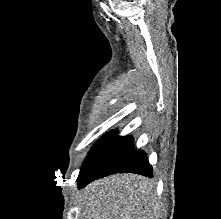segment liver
Listing matches in <instances>:
<instances>
[{
    "label": "liver",
    "mask_w": 221,
    "mask_h": 219,
    "mask_svg": "<svg viewBox=\"0 0 221 219\" xmlns=\"http://www.w3.org/2000/svg\"><path fill=\"white\" fill-rule=\"evenodd\" d=\"M79 219H158L155 184L135 174H116L88 185L78 199Z\"/></svg>",
    "instance_id": "liver-1"
}]
</instances>
